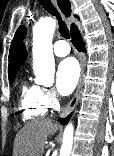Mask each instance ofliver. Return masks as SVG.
<instances>
[{
	"instance_id": "liver-1",
	"label": "liver",
	"mask_w": 114,
	"mask_h": 156,
	"mask_svg": "<svg viewBox=\"0 0 114 156\" xmlns=\"http://www.w3.org/2000/svg\"><path fill=\"white\" fill-rule=\"evenodd\" d=\"M59 129L50 119H34L16 135L13 156H42L49 135Z\"/></svg>"
}]
</instances>
